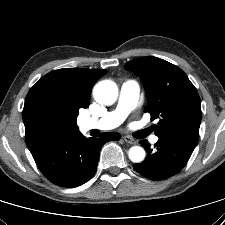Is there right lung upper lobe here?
<instances>
[{"mask_svg":"<svg viewBox=\"0 0 225 225\" xmlns=\"http://www.w3.org/2000/svg\"><path fill=\"white\" fill-rule=\"evenodd\" d=\"M104 74L102 69L63 68L43 76L28 92L23 108L26 143L57 132L58 121H72L88 106L90 90Z\"/></svg>","mask_w":225,"mask_h":225,"instance_id":"1","label":"right lung upper lobe"}]
</instances>
